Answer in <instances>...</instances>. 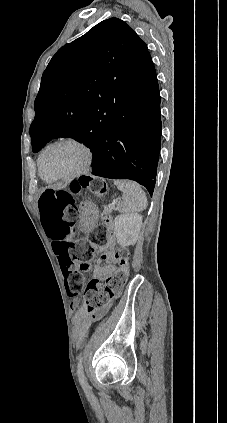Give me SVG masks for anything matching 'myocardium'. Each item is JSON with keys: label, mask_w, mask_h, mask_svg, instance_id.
Listing matches in <instances>:
<instances>
[{"label": "myocardium", "mask_w": 227, "mask_h": 423, "mask_svg": "<svg viewBox=\"0 0 227 423\" xmlns=\"http://www.w3.org/2000/svg\"><path fill=\"white\" fill-rule=\"evenodd\" d=\"M64 143L73 144V145L80 147L85 153L84 163L76 171L69 173V174L57 175V176H52V175L47 174L45 169H44V165H43V157H44L45 153L49 149H51V148H53L57 145L64 144ZM94 159H95V155H94L93 149L84 140L77 138V137H63V138H60V139L48 144L40 152L39 159H38V167H39V171H40L41 175L49 181H57V180L69 181V180L77 179V178L87 174L89 171H91L92 166L94 164Z\"/></svg>", "instance_id": "myocardium-1"}]
</instances>
